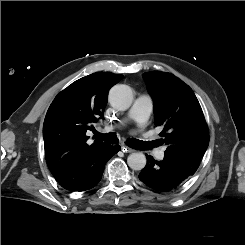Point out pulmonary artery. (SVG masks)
<instances>
[{
    "label": "pulmonary artery",
    "instance_id": "obj_1",
    "mask_svg": "<svg viewBox=\"0 0 245 245\" xmlns=\"http://www.w3.org/2000/svg\"><path fill=\"white\" fill-rule=\"evenodd\" d=\"M153 103L149 95H141L134 101L133 105L127 113V119L135 121L139 127H144L152 113ZM113 127H107V130H112ZM157 159L162 160L165 152L163 148L157 149L154 152Z\"/></svg>",
    "mask_w": 245,
    "mask_h": 245
}]
</instances>
